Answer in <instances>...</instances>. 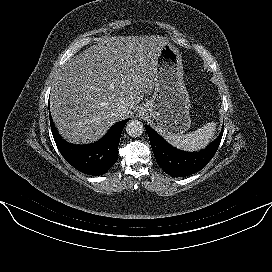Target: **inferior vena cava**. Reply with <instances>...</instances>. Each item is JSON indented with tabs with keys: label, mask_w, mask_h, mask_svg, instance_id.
Here are the masks:
<instances>
[{
	"label": "inferior vena cava",
	"mask_w": 272,
	"mask_h": 272,
	"mask_svg": "<svg viewBox=\"0 0 272 272\" xmlns=\"http://www.w3.org/2000/svg\"><path fill=\"white\" fill-rule=\"evenodd\" d=\"M115 110L119 114H124L128 110V107L125 104H117Z\"/></svg>",
	"instance_id": "inferior-vena-cava-1"
}]
</instances>
